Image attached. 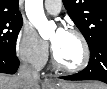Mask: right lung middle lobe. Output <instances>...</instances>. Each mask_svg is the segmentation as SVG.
<instances>
[{
  "label": "right lung middle lobe",
  "mask_w": 107,
  "mask_h": 89,
  "mask_svg": "<svg viewBox=\"0 0 107 89\" xmlns=\"http://www.w3.org/2000/svg\"><path fill=\"white\" fill-rule=\"evenodd\" d=\"M22 24V17L0 16V53L16 56V40Z\"/></svg>",
  "instance_id": "right-lung-middle-lobe-1"
}]
</instances>
